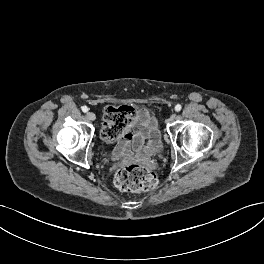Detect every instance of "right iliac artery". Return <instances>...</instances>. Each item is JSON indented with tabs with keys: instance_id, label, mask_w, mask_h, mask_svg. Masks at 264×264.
I'll use <instances>...</instances> for the list:
<instances>
[{
	"instance_id": "82829eb1",
	"label": "right iliac artery",
	"mask_w": 264,
	"mask_h": 264,
	"mask_svg": "<svg viewBox=\"0 0 264 264\" xmlns=\"http://www.w3.org/2000/svg\"><path fill=\"white\" fill-rule=\"evenodd\" d=\"M88 110H89V109H88L87 106H83V107H82V111H83L84 113L88 112Z\"/></svg>"
}]
</instances>
